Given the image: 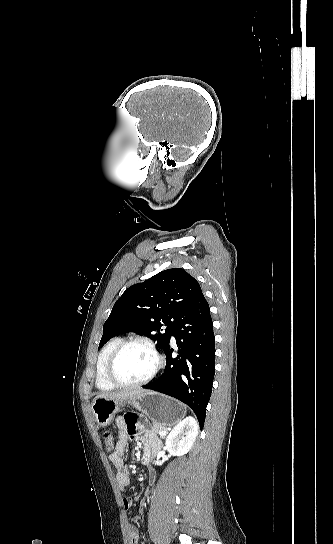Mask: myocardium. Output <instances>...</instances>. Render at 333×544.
<instances>
[{"label": "myocardium", "mask_w": 333, "mask_h": 544, "mask_svg": "<svg viewBox=\"0 0 333 544\" xmlns=\"http://www.w3.org/2000/svg\"><path fill=\"white\" fill-rule=\"evenodd\" d=\"M132 345H139V346H142V347H145L146 349H148L152 353V355L154 356L155 365H154L151 373L146 378H144L142 380H139V381H136V382L129 383V382L121 381L116 376L115 366H116V362H117L119 356L121 355V353L127 347L132 346ZM163 365H164V359H163L162 355L160 354V352L158 351V349L156 348V346L151 341L146 340V339H141V338H133V339H128V340L122 341L113 350V352L111 353V355L109 356V359L107 361L105 374H106L107 380L112 385H114L116 387L135 388V387H140V386L146 385L149 382H151L157 376V374L160 372Z\"/></svg>", "instance_id": "1"}]
</instances>
